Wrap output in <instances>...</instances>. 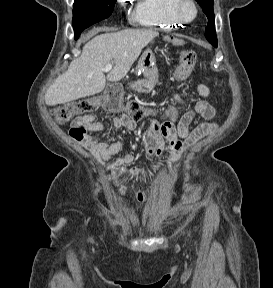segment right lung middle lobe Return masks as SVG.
<instances>
[{"mask_svg": "<svg viewBox=\"0 0 273 288\" xmlns=\"http://www.w3.org/2000/svg\"><path fill=\"white\" fill-rule=\"evenodd\" d=\"M115 3L116 0H75L73 5L75 39H78L85 28L109 17Z\"/></svg>", "mask_w": 273, "mask_h": 288, "instance_id": "obj_1", "label": "right lung middle lobe"}]
</instances>
